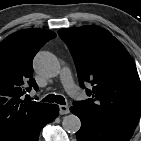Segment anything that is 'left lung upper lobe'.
Returning a JSON list of instances; mask_svg holds the SVG:
<instances>
[{"label": "left lung upper lobe", "mask_w": 141, "mask_h": 141, "mask_svg": "<svg viewBox=\"0 0 141 141\" xmlns=\"http://www.w3.org/2000/svg\"><path fill=\"white\" fill-rule=\"evenodd\" d=\"M59 36L73 56L80 86L91 83L90 96L74 106L101 120L134 130L141 114V82L131 56L107 30L98 26L60 29Z\"/></svg>", "instance_id": "5c2ea615"}]
</instances>
